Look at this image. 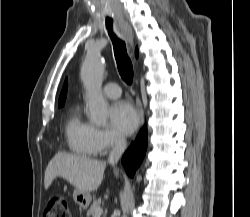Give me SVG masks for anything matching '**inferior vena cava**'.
Listing matches in <instances>:
<instances>
[{
  "instance_id": "1",
  "label": "inferior vena cava",
  "mask_w": 250,
  "mask_h": 217,
  "mask_svg": "<svg viewBox=\"0 0 250 217\" xmlns=\"http://www.w3.org/2000/svg\"><path fill=\"white\" fill-rule=\"evenodd\" d=\"M126 148V140L122 136H115L112 141V150L109 154L108 162L111 165L117 164Z\"/></svg>"
}]
</instances>
